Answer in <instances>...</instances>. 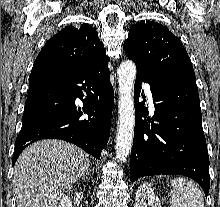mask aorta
<instances>
[{
	"instance_id": "obj_1",
	"label": "aorta",
	"mask_w": 220,
	"mask_h": 207,
	"mask_svg": "<svg viewBox=\"0 0 220 207\" xmlns=\"http://www.w3.org/2000/svg\"><path fill=\"white\" fill-rule=\"evenodd\" d=\"M136 65L131 60L122 62L118 69L119 125L116 138V158L124 162L131 152L134 136L135 109L133 88Z\"/></svg>"
}]
</instances>
